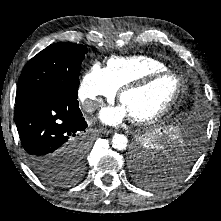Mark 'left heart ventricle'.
I'll return each instance as SVG.
<instances>
[{"mask_svg":"<svg viewBox=\"0 0 221 221\" xmlns=\"http://www.w3.org/2000/svg\"><path fill=\"white\" fill-rule=\"evenodd\" d=\"M172 76H164L144 88L125 93L121 99L130 118H146L159 112L171 100L176 90Z\"/></svg>","mask_w":221,"mask_h":221,"instance_id":"left-heart-ventricle-1","label":"left heart ventricle"}]
</instances>
